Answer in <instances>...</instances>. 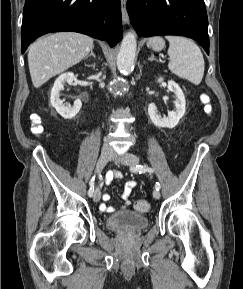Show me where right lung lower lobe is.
Segmentation results:
<instances>
[{
	"label": "right lung lower lobe",
	"mask_w": 243,
	"mask_h": 289,
	"mask_svg": "<svg viewBox=\"0 0 243 289\" xmlns=\"http://www.w3.org/2000/svg\"><path fill=\"white\" fill-rule=\"evenodd\" d=\"M120 0H25L22 53L46 33L74 31L114 46L122 38Z\"/></svg>",
	"instance_id": "right-lung-lower-lobe-1"
}]
</instances>
